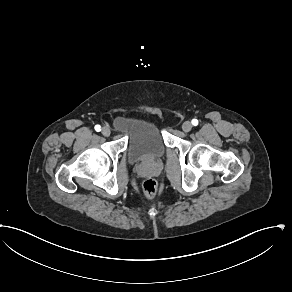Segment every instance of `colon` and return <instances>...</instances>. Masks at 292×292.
Masks as SVG:
<instances>
[{
  "mask_svg": "<svg viewBox=\"0 0 292 292\" xmlns=\"http://www.w3.org/2000/svg\"><path fill=\"white\" fill-rule=\"evenodd\" d=\"M157 184L156 181L152 178H148L143 183V193L144 196L148 199H152L157 194Z\"/></svg>",
  "mask_w": 292,
  "mask_h": 292,
  "instance_id": "1",
  "label": "colon"
}]
</instances>
